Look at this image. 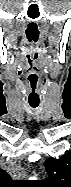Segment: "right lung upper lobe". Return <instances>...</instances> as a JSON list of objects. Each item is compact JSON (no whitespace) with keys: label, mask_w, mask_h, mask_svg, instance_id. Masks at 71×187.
Segmentation results:
<instances>
[{"label":"right lung upper lobe","mask_w":71,"mask_h":187,"mask_svg":"<svg viewBox=\"0 0 71 187\" xmlns=\"http://www.w3.org/2000/svg\"><path fill=\"white\" fill-rule=\"evenodd\" d=\"M1 171H2V175H3L4 179H10V176L5 171H3V170H1Z\"/></svg>","instance_id":"1"}]
</instances>
